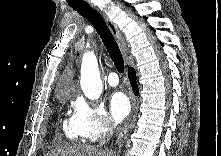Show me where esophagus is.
<instances>
[{"label":"esophagus","instance_id":"obj_1","mask_svg":"<svg viewBox=\"0 0 221 156\" xmlns=\"http://www.w3.org/2000/svg\"><path fill=\"white\" fill-rule=\"evenodd\" d=\"M86 1L88 2V4L93 9H95L96 11H98L102 15V17H103L104 21L106 22L108 28L110 29V31L112 32L114 37L119 42L124 57H126V55H127V48H126L125 42H124V40L122 38V35H121L120 31L118 30L117 26L109 19V17L105 13H103L98 7L93 5L90 0H86ZM136 109H137L136 108V102L134 101L133 102V111H132V120L120 132V134H119V136L117 138V142H120L125 137L128 129L131 127V125L133 123V120H134V118L136 116V111H137Z\"/></svg>","mask_w":221,"mask_h":156}]
</instances>
